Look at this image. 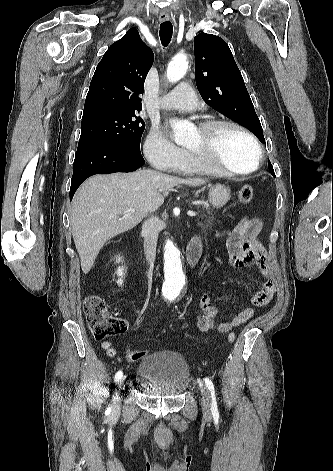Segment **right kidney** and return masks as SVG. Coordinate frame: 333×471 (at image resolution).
<instances>
[{
  "mask_svg": "<svg viewBox=\"0 0 333 471\" xmlns=\"http://www.w3.org/2000/svg\"><path fill=\"white\" fill-rule=\"evenodd\" d=\"M120 260H121V258L119 257V258L117 259V261L119 262ZM117 276L119 277V279L117 280V284H118L119 286H122V284H123V276H124V268H123V267H119V268L117 269Z\"/></svg>",
  "mask_w": 333,
  "mask_h": 471,
  "instance_id": "obj_1",
  "label": "right kidney"
}]
</instances>
